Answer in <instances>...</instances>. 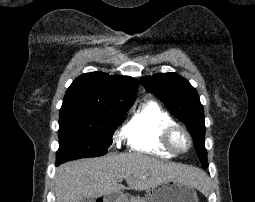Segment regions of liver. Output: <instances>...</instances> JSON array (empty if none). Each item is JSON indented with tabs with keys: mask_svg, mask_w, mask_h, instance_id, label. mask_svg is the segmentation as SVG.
Listing matches in <instances>:
<instances>
[{
	"mask_svg": "<svg viewBox=\"0 0 255 202\" xmlns=\"http://www.w3.org/2000/svg\"><path fill=\"white\" fill-rule=\"evenodd\" d=\"M125 179L129 189L146 190L163 181L178 180L202 189L206 176L199 169L161 161L140 153L109 154L61 165L55 176L56 202H80L124 189L117 183Z\"/></svg>",
	"mask_w": 255,
	"mask_h": 202,
	"instance_id": "1",
	"label": "liver"
}]
</instances>
